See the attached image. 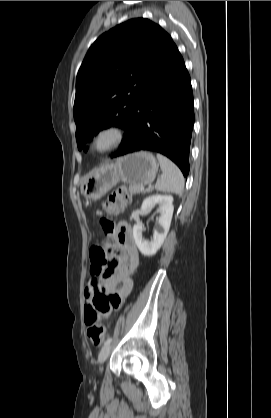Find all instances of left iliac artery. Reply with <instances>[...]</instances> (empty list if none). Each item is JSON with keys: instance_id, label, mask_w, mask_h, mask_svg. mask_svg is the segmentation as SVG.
Returning a JSON list of instances; mask_svg holds the SVG:
<instances>
[{"instance_id": "44dca946", "label": "left iliac artery", "mask_w": 271, "mask_h": 418, "mask_svg": "<svg viewBox=\"0 0 271 418\" xmlns=\"http://www.w3.org/2000/svg\"><path fill=\"white\" fill-rule=\"evenodd\" d=\"M112 342V338H108L105 342H104V346L109 345Z\"/></svg>"}]
</instances>
